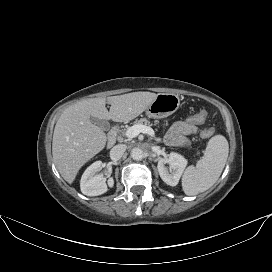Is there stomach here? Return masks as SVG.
<instances>
[{
	"label": "stomach",
	"instance_id": "stomach-1",
	"mask_svg": "<svg viewBox=\"0 0 272 272\" xmlns=\"http://www.w3.org/2000/svg\"><path fill=\"white\" fill-rule=\"evenodd\" d=\"M180 106V98L172 93L157 94L155 100L146 110V115L150 118H165L173 114Z\"/></svg>",
	"mask_w": 272,
	"mask_h": 272
}]
</instances>
